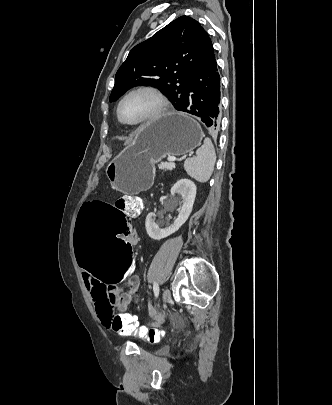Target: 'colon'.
I'll use <instances>...</instances> for the list:
<instances>
[{
  "instance_id": "1",
  "label": "colon",
  "mask_w": 332,
  "mask_h": 405,
  "mask_svg": "<svg viewBox=\"0 0 332 405\" xmlns=\"http://www.w3.org/2000/svg\"><path fill=\"white\" fill-rule=\"evenodd\" d=\"M143 204L133 195L120 197L114 202H104L102 197H93L91 202H82L77 219L72 221L75 257L84 275H95L96 281H104L105 287H122L123 281H133L136 266L134 229L127 220V211L140 214ZM112 328L121 331L126 341L136 339L138 346L160 340L164 327L139 322L133 311L113 314Z\"/></svg>"
}]
</instances>
